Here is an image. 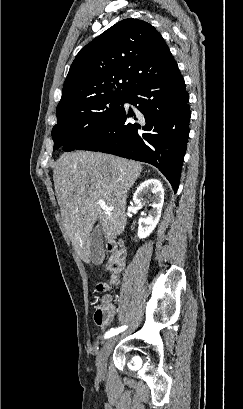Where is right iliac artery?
<instances>
[{
    "mask_svg": "<svg viewBox=\"0 0 243 409\" xmlns=\"http://www.w3.org/2000/svg\"><path fill=\"white\" fill-rule=\"evenodd\" d=\"M127 328V326H121V327H118V328H112V329H110L109 331H107L106 333H105V338L107 339V338H110V337H113L114 335H117L118 333H120V332H122V331H124L125 329Z\"/></svg>",
    "mask_w": 243,
    "mask_h": 409,
    "instance_id": "right-iliac-artery-1",
    "label": "right iliac artery"
}]
</instances>
